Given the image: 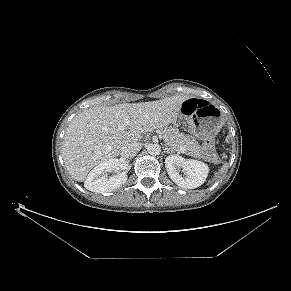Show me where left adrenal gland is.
<instances>
[{
	"label": "left adrenal gland",
	"mask_w": 291,
	"mask_h": 291,
	"mask_svg": "<svg viewBox=\"0 0 291 291\" xmlns=\"http://www.w3.org/2000/svg\"><path fill=\"white\" fill-rule=\"evenodd\" d=\"M164 151L166 152V153H174V150L173 149H171V148H169V147H167L166 145H165V148H164Z\"/></svg>",
	"instance_id": "1"
}]
</instances>
